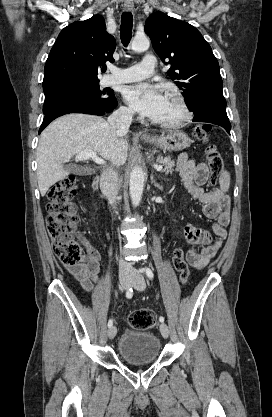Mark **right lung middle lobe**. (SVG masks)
Here are the masks:
<instances>
[{
	"label": "right lung middle lobe",
	"mask_w": 272,
	"mask_h": 417,
	"mask_svg": "<svg viewBox=\"0 0 272 417\" xmlns=\"http://www.w3.org/2000/svg\"><path fill=\"white\" fill-rule=\"evenodd\" d=\"M44 94V114L50 112L55 107L68 102L78 101L103 105L115 98L112 90H100L98 83L60 86L45 90Z\"/></svg>",
	"instance_id": "right-lung-middle-lobe-1"
}]
</instances>
